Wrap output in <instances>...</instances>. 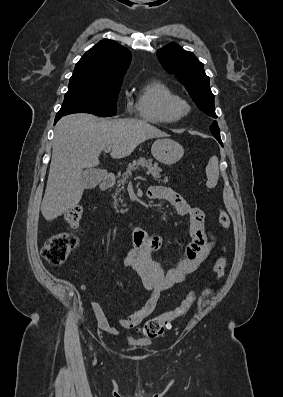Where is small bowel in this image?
<instances>
[{
  "label": "small bowel",
  "instance_id": "obj_1",
  "mask_svg": "<svg viewBox=\"0 0 283 397\" xmlns=\"http://www.w3.org/2000/svg\"><path fill=\"white\" fill-rule=\"evenodd\" d=\"M147 196L153 200L164 201L179 215L190 219V242L184 248L181 258L171 268L156 260L155 255L163 249V240L159 236L149 235L144 229L138 228L132 232L134 248L125 256L123 266L134 271L141 279L142 285L148 292L145 304L127 317L117 320L122 329H132L138 326L155 309L161 292L182 283L194 273L208 258L216 245L217 238L205 223L204 212L197 207L190 206L176 191L165 186H151ZM98 327L112 335L119 331L111 326L109 320L98 303L91 305Z\"/></svg>",
  "mask_w": 283,
  "mask_h": 397
}]
</instances>
